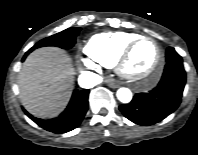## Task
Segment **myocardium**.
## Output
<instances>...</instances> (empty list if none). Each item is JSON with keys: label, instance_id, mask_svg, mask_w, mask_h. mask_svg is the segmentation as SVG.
I'll use <instances>...</instances> for the list:
<instances>
[{"label": "myocardium", "instance_id": "myocardium-1", "mask_svg": "<svg viewBox=\"0 0 198 155\" xmlns=\"http://www.w3.org/2000/svg\"><path fill=\"white\" fill-rule=\"evenodd\" d=\"M144 40H149V41H152L153 43H155L156 48H157V58H156V61H155V64H154L152 70L148 74L138 77V76L130 74L126 69V65H127V62L129 61V58H130L131 53L134 50V48L140 42H142ZM163 62H164V52H163L159 42L156 39H154L153 37L146 36V35H140V36L136 37L135 39H133L132 41H130L125 46V48L122 50V52L118 56L115 65H116L118 74L124 80H126L128 83H130L132 86H134L136 88H147V87L152 86L158 79Z\"/></svg>", "mask_w": 198, "mask_h": 155}]
</instances>
